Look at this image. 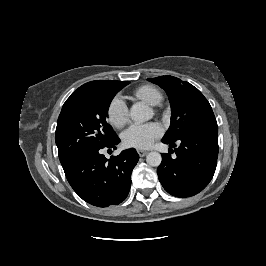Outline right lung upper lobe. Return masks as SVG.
Instances as JSON below:
<instances>
[{"mask_svg":"<svg viewBox=\"0 0 266 266\" xmlns=\"http://www.w3.org/2000/svg\"><path fill=\"white\" fill-rule=\"evenodd\" d=\"M102 81L103 80H97V81H91V82L85 83L84 85L80 86L76 91H74L73 94L84 92V91L96 86L97 84H99Z\"/></svg>","mask_w":266,"mask_h":266,"instance_id":"cb5924a9","label":"right lung upper lobe"}]
</instances>
